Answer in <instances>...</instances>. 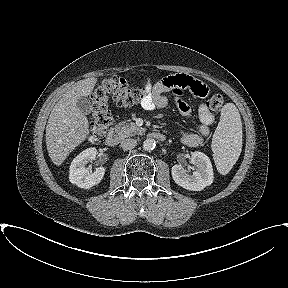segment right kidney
<instances>
[{
  "instance_id": "ca27d5eb",
  "label": "right kidney",
  "mask_w": 288,
  "mask_h": 288,
  "mask_svg": "<svg viewBox=\"0 0 288 288\" xmlns=\"http://www.w3.org/2000/svg\"><path fill=\"white\" fill-rule=\"evenodd\" d=\"M97 154L96 148H88L82 151L74 158L70 165L69 180L72 184L80 188L89 189L103 179L105 168L99 167L94 172H91L85 166L88 162L95 160Z\"/></svg>"
}]
</instances>
